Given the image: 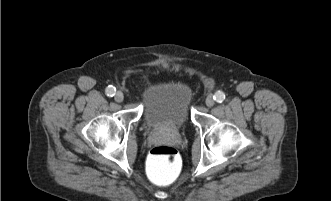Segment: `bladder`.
<instances>
[{"mask_svg":"<svg viewBox=\"0 0 331 201\" xmlns=\"http://www.w3.org/2000/svg\"><path fill=\"white\" fill-rule=\"evenodd\" d=\"M191 88L180 80L152 83L145 92L143 122L152 129L183 127L190 119Z\"/></svg>","mask_w":331,"mask_h":201,"instance_id":"1","label":"bladder"}]
</instances>
